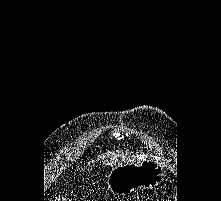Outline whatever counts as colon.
Segmentation results:
<instances>
[{"label": "colon", "mask_w": 221, "mask_h": 201, "mask_svg": "<svg viewBox=\"0 0 221 201\" xmlns=\"http://www.w3.org/2000/svg\"><path fill=\"white\" fill-rule=\"evenodd\" d=\"M51 201H73V200L69 195L60 194L54 197ZM166 201H178V199L176 196H171Z\"/></svg>", "instance_id": "1"}]
</instances>
